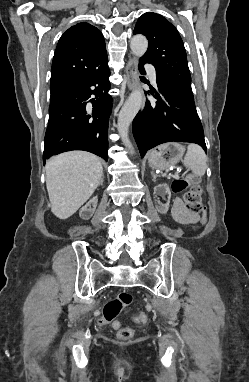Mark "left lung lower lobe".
Here are the masks:
<instances>
[{
    "mask_svg": "<svg viewBox=\"0 0 249 382\" xmlns=\"http://www.w3.org/2000/svg\"><path fill=\"white\" fill-rule=\"evenodd\" d=\"M140 59V71L145 73ZM157 90L150 93L157 100H146L144 110L133 120V135L141 157L147 150L166 142H190L206 151L204 132L196 111L194 98L157 79Z\"/></svg>",
    "mask_w": 249,
    "mask_h": 382,
    "instance_id": "0a47b994",
    "label": "left lung lower lobe"
}]
</instances>
